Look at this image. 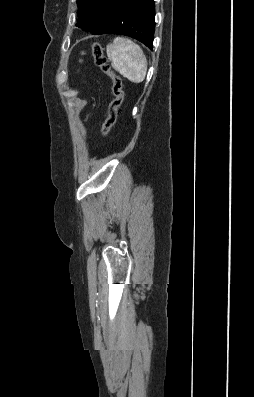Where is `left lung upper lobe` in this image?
I'll return each instance as SVG.
<instances>
[{
  "label": "left lung upper lobe",
  "mask_w": 254,
  "mask_h": 397,
  "mask_svg": "<svg viewBox=\"0 0 254 397\" xmlns=\"http://www.w3.org/2000/svg\"><path fill=\"white\" fill-rule=\"evenodd\" d=\"M107 0H77L78 22L76 26L92 31L102 20L107 9Z\"/></svg>",
  "instance_id": "left-lung-upper-lobe-1"
}]
</instances>
